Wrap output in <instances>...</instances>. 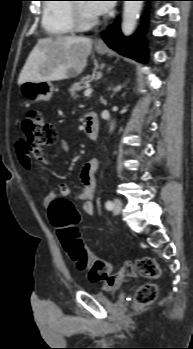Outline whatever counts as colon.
I'll list each match as a JSON object with an SVG mask.
<instances>
[{
    "mask_svg": "<svg viewBox=\"0 0 193 349\" xmlns=\"http://www.w3.org/2000/svg\"><path fill=\"white\" fill-rule=\"evenodd\" d=\"M25 149L29 155L39 156L44 147L55 143L57 134L52 123L36 110L27 112L22 123ZM50 222L58 237L79 270L86 271L93 282L107 280L112 272V264L104 259L94 257L85 247L78 231L79 211L76 205L66 198H57L48 206ZM136 271L144 278L156 280L161 271L153 258L139 257L134 263ZM156 284L149 282L140 286L135 294V306L143 308L157 298Z\"/></svg>",
    "mask_w": 193,
    "mask_h": 349,
    "instance_id": "obj_1",
    "label": "colon"
}]
</instances>
